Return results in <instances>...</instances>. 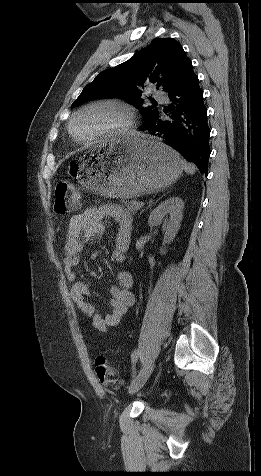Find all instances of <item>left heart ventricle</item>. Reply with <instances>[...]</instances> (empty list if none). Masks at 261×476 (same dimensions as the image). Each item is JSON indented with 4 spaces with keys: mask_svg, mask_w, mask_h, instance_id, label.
Instances as JSON below:
<instances>
[{
    "mask_svg": "<svg viewBox=\"0 0 261 476\" xmlns=\"http://www.w3.org/2000/svg\"><path fill=\"white\" fill-rule=\"evenodd\" d=\"M123 120V114L116 108L100 106L79 115L73 129L78 139L89 140L118 127Z\"/></svg>",
    "mask_w": 261,
    "mask_h": 476,
    "instance_id": "b2bd125f",
    "label": "left heart ventricle"
}]
</instances>
